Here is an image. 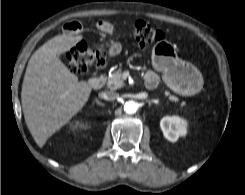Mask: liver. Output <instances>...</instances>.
Instances as JSON below:
<instances>
[{
	"mask_svg": "<svg viewBox=\"0 0 245 195\" xmlns=\"http://www.w3.org/2000/svg\"><path fill=\"white\" fill-rule=\"evenodd\" d=\"M83 36L58 35L31 56L21 91L26 125L39 147L87 103L92 88L59 59Z\"/></svg>",
	"mask_w": 245,
	"mask_h": 195,
	"instance_id": "obj_1",
	"label": "liver"
}]
</instances>
